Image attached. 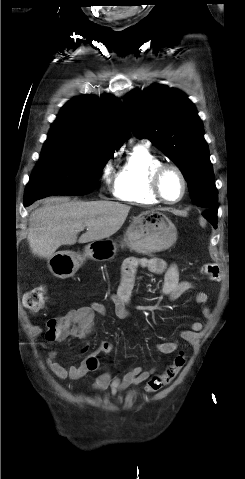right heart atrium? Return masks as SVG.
<instances>
[{
	"mask_svg": "<svg viewBox=\"0 0 245 479\" xmlns=\"http://www.w3.org/2000/svg\"><path fill=\"white\" fill-rule=\"evenodd\" d=\"M111 170H112L111 164H110V163H107V164L103 167L102 180L107 181V180L109 179L110 174H111Z\"/></svg>",
	"mask_w": 245,
	"mask_h": 479,
	"instance_id": "d8ad5b80",
	"label": "right heart atrium"
}]
</instances>
